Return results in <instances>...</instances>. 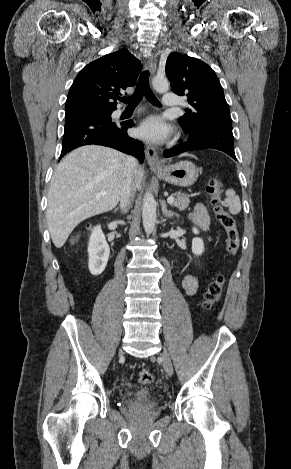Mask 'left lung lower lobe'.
I'll return each instance as SVG.
<instances>
[{
	"label": "left lung lower lobe",
	"instance_id": "obj_1",
	"mask_svg": "<svg viewBox=\"0 0 291 469\" xmlns=\"http://www.w3.org/2000/svg\"><path fill=\"white\" fill-rule=\"evenodd\" d=\"M205 148L221 150L236 160L233 133L231 130L220 128H207L190 133V137L185 144L164 151V156L171 157L186 151Z\"/></svg>",
	"mask_w": 291,
	"mask_h": 469
}]
</instances>
